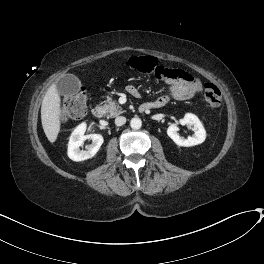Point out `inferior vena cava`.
<instances>
[{"label": "inferior vena cava", "mask_w": 264, "mask_h": 264, "mask_svg": "<svg viewBox=\"0 0 264 264\" xmlns=\"http://www.w3.org/2000/svg\"><path fill=\"white\" fill-rule=\"evenodd\" d=\"M125 123H126V118H125V117H123V116L116 117V119H115V124H116L117 126H122V125H124Z\"/></svg>", "instance_id": "inferior-vena-cava-1"}]
</instances>
